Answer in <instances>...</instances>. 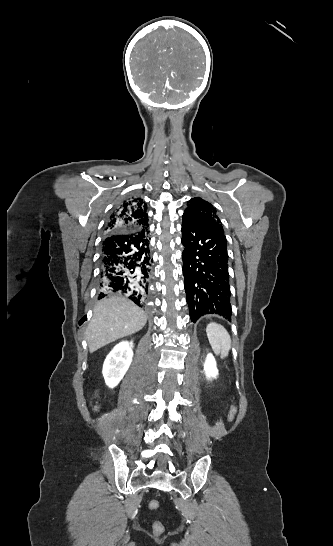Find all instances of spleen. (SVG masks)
I'll return each mask as SVG.
<instances>
[{"instance_id":"1","label":"spleen","mask_w":333,"mask_h":546,"mask_svg":"<svg viewBox=\"0 0 333 546\" xmlns=\"http://www.w3.org/2000/svg\"><path fill=\"white\" fill-rule=\"evenodd\" d=\"M206 334L212 350L222 358L228 356L231 349V337L228 331L220 324L211 322L206 327Z\"/></svg>"}]
</instances>
